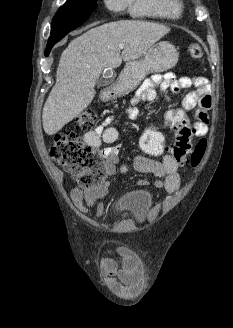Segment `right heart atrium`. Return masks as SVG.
<instances>
[{
    "instance_id": "d8ad5b80",
    "label": "right heart atrium",
    "mask_w": 233,
    "mask_h": 328,
    "mask_svg": "<svg viewBox=\"0 0 233 328\" xmlns=\"http://www.w3.org/2000/svg\"><path fill=\"white\" fill-rule=\"evenodd\" d=\"M106 5L113 11H120L125 7L126 0H105Z\"/></svg>"
}]
</instances>
